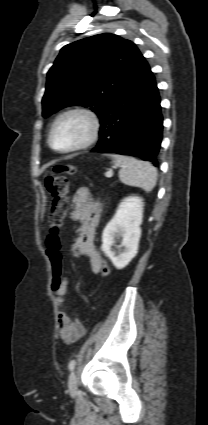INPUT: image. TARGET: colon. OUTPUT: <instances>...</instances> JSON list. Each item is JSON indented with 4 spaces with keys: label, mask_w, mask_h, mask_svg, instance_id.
Here are the masks:
<instances>
[{
    "label": "colon",
    "mask_w": 208,
    "mask_h": 425,
    "mask_svg": "<svg viewBox=\"0 0 208 425\" xmlns=\"http://www.w3.org/2000/svg\"><path fill=\"white\" fill-rule=\"evenodd\" d=\"M75 173V167L69 164L55 165L45 178V187L52 198V206L49 216L50 234L47 239L48 256L52 265V290L57 292L63 274V255L57 233L62 225L66 206V197L69 192V181L67 176ZM70 255H77L73 248ZM102 276L109 274V266L104 264L101 269Z\"/></svg>",
    "instance_id": "obj_1"
}]
</instances>
